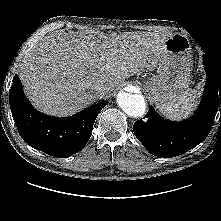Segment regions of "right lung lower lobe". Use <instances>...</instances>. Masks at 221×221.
Returning <instances> with one entry per match:
<instances>
[{
	"label": "right lung lower lobe",
	"mask_w": 221,
	"mask_h": 221,
	"mask_svg": "<svg viewBox=\"0 0 221 221\" xmlns=\"http://www.w3.org/2000/svg\"><path fill=\"white\" fill-rule=\"evenodd\" d=\"M9 102L22 139L31 147L60 158L69 157L84 148L95 119L108 104L101 102L65 118L47 116L32 107L17 75L13 77Z\"/></svg>",
	"instance_id": "obj_1"
}]
</instances>
